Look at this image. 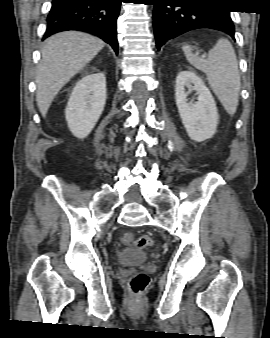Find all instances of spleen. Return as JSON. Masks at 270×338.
Wrapping results in <instances>:
<instances>
[{"mask_svg":"<svg viewBox=\"0 0 270 338\" xmlns=\"http://www.w3.org/2000/svg\"><path fill=\"white\" fill-rule=\"evenodd\" d=\"M187 61L206 74L208 83L226 112L234 115L239 102L241 86L238 62L232 44L220 38L209 50L207 58L194 54L193 47H182Z\"/></svg>","mask_w":270,"mask_h":338,"instance_id":"spleen-1","label":"spleen"}]
</instances>
